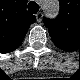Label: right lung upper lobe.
Masks as SVG:
<instances>
[{
  "label": "right lung upper lobe",
  "mask_w": 80,
  "mask_h": 80,
  "mask_svg": "<svg viewBox=\"0 0 80 80\" xmlns=\"http://www.w3.org/2000/svg\"><path fill=\"white\" fill-rule=\"evenodd\" d=\"M35 21L36 17L27 12L24 0H10L0 12V46L16 49Z\"/></svg>",
  "instance_id": "right-lung-upper-lobe-1"
}]
</instances>
